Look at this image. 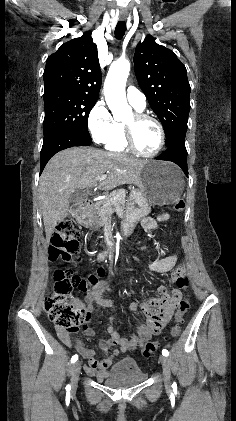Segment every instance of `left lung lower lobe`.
<instances>
[{"instance_id": "left-lung-lower-lobe-1", "label": "left lung lower lobe", "mask_w": 236, "mask_h": 421, "mask_svg": "<svg viewBox=\"0 0 236 421\" xmlns=\"http://www.w3.org/2000/svg\"><path fill=\"white\" fill-rule=\"evenodd\" d=\"M158 160H166L176 163L188 176L187 168V151L185 147V139L178 137L171 142L167 150L160 156L156 157Z\"/></svg>"}]
</instances>
